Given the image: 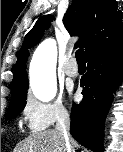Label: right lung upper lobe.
<instances>
[{
	"mask_svg": "<svg viewBox=\"0 0 123 152\" xmlns=\"http://www.w3.org/2000/svg\"><path fill=\"white\" fill-rule=\"evenodd\" d=\"M115 0H73L63 18L72 36H80L75 46L84 47L86 57L106 42L123 32V13L117 11ZM51 15L40 17L25 36L17 59L11 92L28 86L26 60L31 47L38 44L50 26Z\"/></svg>",
	"mask_w": 123,
	"mask_h": 152,
	"instance_id": "right-lung-upper-lobe-1",
	"label": "right lung upper lobe"
}]
</instances>
